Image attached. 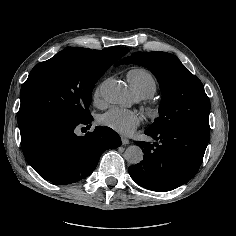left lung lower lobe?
<instances>
[{"label":"left lung lower lobe","mask_w":236,"mask_h":236,"mask_svg":"<svg viewBox=\"0 0 236 236\" xmlns=\"http://www.w3.org/2000/svg\"><path fill=\"white\" fill-rule=\"evenodd\" d=\"M153 144L135 141L143 160L128 171L140 186L153 191L173 190L195 176L209 142L210 132L194 128L146 130Z\"/></svg>","instance_id":"0a47b994"}]
</instances>
